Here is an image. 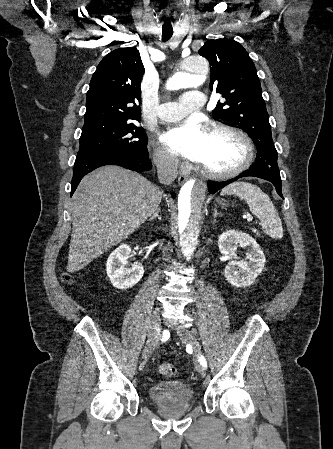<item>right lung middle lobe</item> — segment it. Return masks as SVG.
<instances>
[{
    "label": "right lung middle lobe",
    "mask_w": 333,
    "mask_h": 449,
    "mask_svg": "<svg viewBox=\"0 0 333 449\" xmlns=\"http://www.w3.org/2000/svg\"><path fill=\"white\" fill-rule=\"evenodd\" d=\"M92 151H115L126 154L147 153L145 131L132 121L83 126L79 152Z\"/></svg>",
    "instance_id": "obj_1"
}]
</instances>
